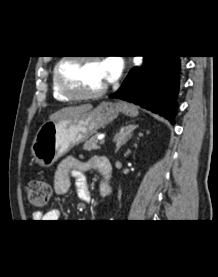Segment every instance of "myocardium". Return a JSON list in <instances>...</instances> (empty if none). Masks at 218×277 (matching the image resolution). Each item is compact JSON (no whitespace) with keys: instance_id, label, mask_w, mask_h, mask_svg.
Instances as JSON below:
<instances>
[{"instance_id":"f54148a6","label":"myocardium","mask_w":218,"mask_h":277,"mask_svg":"<svg viewBox=\"0 0 218 277\" xmlns=\"http://www.w3.org/2000/svg\"><path fill=\"white\" fill-rule=\"evenodd\" d=\"M100 61L98 57L95 56H80V57H63L54 67V74L59 91L67 98L71 100H85L92 99L102 96L106 93L108 85L105 84L98 90L92 92H79L74 90L67 82L64 73L63 67L67 62L70 61Z\"/></svg>"}]
</instances>
